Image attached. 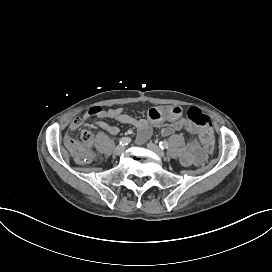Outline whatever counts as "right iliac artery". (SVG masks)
<instances>
[{"label": "right iliac artery", "mask_w": 272, "mask_h": 272, "mask_svg": "<svg viewBox=\"0 0 272 272\" xmlns=\"http://www.w3.org/2000/svg\"><path fill=\"white\" fill-rule=\"evenodd\" d=\"M131 142V139L129 137H123L120 139L119 144L124 146L128 145Z\"/></svg>", "instance_id": "1"}]
</instances>
